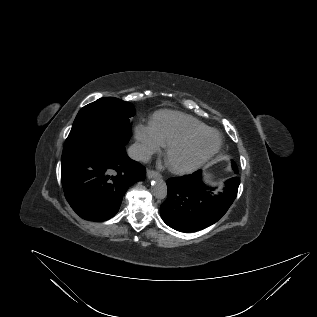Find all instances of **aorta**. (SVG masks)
I'll return each instance as SVG.
<instances>
[{
  "label": "aorta",
  "instance_id": "762f6f07",
  "mask_svg": "<svg viewBox=\"0 0 317 317\" xmlns=\"http://www.w3.org/2000/svg\"><path fill=\"white\" fill-rule=\"evenodd\" d=\"M151 191L155 198L165 199L167 197V185L165 181L159 176L156 175L151 184Z\"/></svg>",
  "mask_w": 317,
  "mask_h": 317
}]
</instances>
